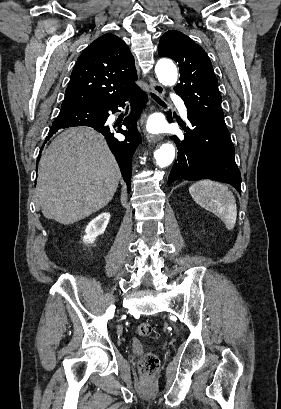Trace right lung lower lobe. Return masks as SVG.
Listing matches in <instances>:
<instances>
[{
	"label": "right lung lower lobe",
	"mask_w": 281,
	"mask_h": 409,
	"mask_svg": "<svg viewBox=\"0 0 281 409\" xmlns=\"http://www.w3.org/2000/svg\"><path fill=\"white\" fill-rule=\"evenodd\" d=\"M127 100H130L132 107H137L136 112L139 113L147 102V96L139 88L125 98L107 103L93 106L61 107L59 116L86 118L88 122L82 126L92 127L104 135L110 150L116 157L122 176L127 183L128 190L130 191L132 154L140 142V137L136 128L137 116H132L131 114L123 121V125L125 126L126 130L121 128V124L108 125L106 123L110 113L118 112V107H124ZM61 128L65 127H51L46 141ZM117 133L123 134L125 139L122 140L115 137L117 136Z\"/></svg>",
	"instance_id": "obj_1"
}]
</instances>
